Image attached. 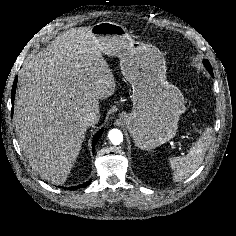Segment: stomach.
I'll return each mask as SVG.
<instances>
[{
  "label": "stomach",
  "mask_w": 236,
  "mask_h": 236,
  "mask_svg": "<svg viewBox=\"0 0 236 236\" xmlns=\"http://www.w3.org/2000/svg\"><path fill=\"white\" fill-rule=\"evenodd\" d=\"M102 54L117 56L133 89V110L120 120L141 149H153L173 138L185 108L181 91L166 80V62L153 45L136 41L125 27L103 21L91 27Z\"/></svg>",
  "instance_id": "obj_1"
}]
</instances>
